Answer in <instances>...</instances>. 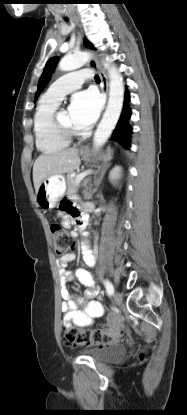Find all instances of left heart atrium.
Returning a JSON list of instances; mask_svg holds the SVG:
<instances>
[{
  "mask_svg": "<svg viewBox=\"0 0 187 415\" xmlns=\"http://www.w3.org/2000/svg\"><path fill=\"white\" fill-rule=\"evenodd\" d=\"M100 108V98L95 91L83 90L75 93L68 107L73 126L77 129L90 127L96 121Z\"/></svg>",
  "mask_w": 187,
  "mask_h": 415,
  "instance_id": "left-heart-atrium-1",
  "label": "left heart atrium"
}]
</instances>
